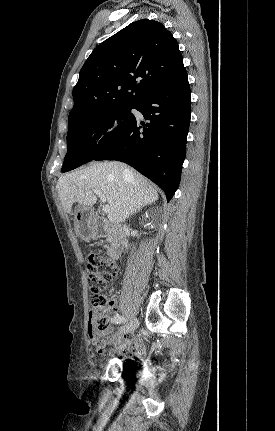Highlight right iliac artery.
Returning <instances> with one entry per match:
<instances>
[{"label": "right iliac artery", "instance_id": "right-iliac-artery-1", "mask_svg": "<svg viewBox=\"0 0 275 431\" xmlns=\"http://www.w3.org/2000/svg\"><path fill=\"white\" fill-rule=\"evenodd\" d=\"M112 322L115 324H121V323H125L126 319L120 316L119 314H116L112 317Z\"/></svg>", "mask_w": 275, "mask_h": 431}]
</instances>
